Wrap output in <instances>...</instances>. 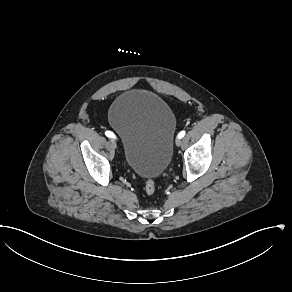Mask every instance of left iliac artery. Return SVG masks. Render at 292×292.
<instances>
[{
  "label": "left iliac artery",
  "instance_id": "44dca946",
  "mask_svg": "<svg viewBox=\"0 0 292 292\" xmlns=\"http://www.w3.org/2000/svg\"><path fill=\"white\" fill-rule=\"evenodd\" d=\"M184 135H185V131L184 130H182L181 132H179V134H178V138H183L184 137Z\"/></svg>",
  "mask_w": 292,
  "mask_h": 292
}]
</instances>
